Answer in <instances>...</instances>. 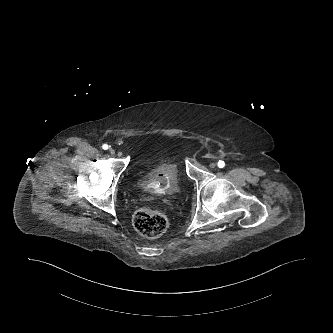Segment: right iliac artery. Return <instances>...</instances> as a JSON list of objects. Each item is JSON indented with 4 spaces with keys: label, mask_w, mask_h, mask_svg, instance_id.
<instances>
[{
    "label": "right iliac artery",
    "mask_w": 333,
    "mask_h": 333,
    "mask_svg": "<svg viewBox=\"0 0 333 333\" xmlns=\"http://www.w3.org/2000/svg\"><path fill=\"white\" fill-rule=\"evenodd\" d=\"M102 148H103L104 150H107L109 147H108L107 144H103Z\"/></svg>",
    "instance_id": "obj_1"
}]
</instances>
